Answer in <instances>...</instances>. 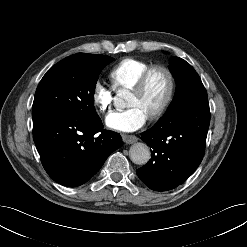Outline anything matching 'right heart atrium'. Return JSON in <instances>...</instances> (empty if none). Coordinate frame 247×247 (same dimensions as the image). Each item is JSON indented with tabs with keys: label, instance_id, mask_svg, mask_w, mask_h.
<instances>
[{
	"label": "right heart atrium",
	"instance_id": "obj_1",
	"mask_svg": "<svg viewBox=\"0 0 247 247\" xmlns=\"http://www.w3.org/2000/svg\"><path fill=\"white\" fill-rule=\"evenodd\" d=\"M92 99L99 112L107 113L112 108L114 91L103 81L97 80L93 86Z\"/></svg>",
	"mask_w": 247,
	"mask_h": 247
}]
</instances>
